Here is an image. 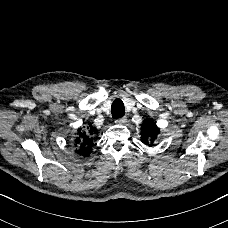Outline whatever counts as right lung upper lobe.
Here are the masks:
<instances>
[{"label":"right lung upper lobe","instance_id":"right-lung-upper-lobe-1","mask_svg":"<svg viewBox=\"0 0 228 228\" xmlns=\"http://www.w3.org/2000/svg\"><path fill=\"white\" fill-rule=\"evenodd\" d=\"M98 133L96 127L91 123L85 128H79L77 136L74 139V146L76 147L75 152L82 156H89L93 147V137Z\"/></svg>","mask_w":228,"mask_h":228}]
</instances>
